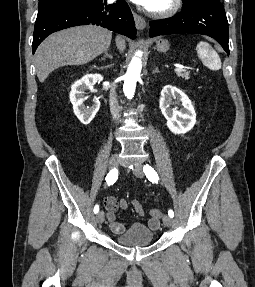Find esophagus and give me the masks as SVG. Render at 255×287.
<instances>
[{"label":"esophagus","mask_w":255,"mask_h":287,"mask_svg":"<svg viewBox=\"0 0 255 287\" xmlns=\"http://www.w3.org/2000/svg\"><path fill=\"white\" fill-rule=\"evenodd\" d=\"M135 25L138 30H143L146 27V22L143 17L138 15L137 13L133 12Z\"/></svg>","instance_id":"34e87169"}]
</instances>
